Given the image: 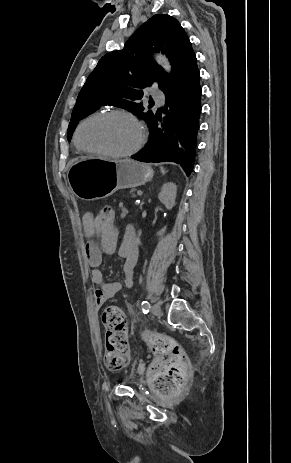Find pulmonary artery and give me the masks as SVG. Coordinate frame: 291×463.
<instances>
[{
  "mask_svg": "<svg viewBox=\"0 0 291 463\" xmlns=\"http://www.w3.org/2000/svg\"><path fill=\"white\" fill-rule=\"evenodd\" d=\"M152 97H153L156 101H158V102H160V103H162V102L164 101L163 94H162V92H160V91H153V92H152Z\"/></svg>",
  "mask_w": 291,
  "mask_h": 463,
  "instance_id": "e3ab8cb5",
  "label": "pulmonary artery"
}]
</instances>
